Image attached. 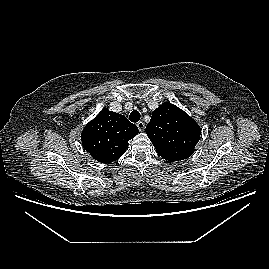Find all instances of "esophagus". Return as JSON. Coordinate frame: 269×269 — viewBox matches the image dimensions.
<instances>
[{"label": "esophagus", "instance_id": "1", "mask_svg": "<svg viewBox=\"0 0 269 269\" xmlns=\"http://www.w3.org/2000/svg\"><path fill=\"white\" fill-rule=\"evenodd\" d=\"M136 125H137L139 131H141V132L144 131L145 123L143 121H139Z\"/></svg>", "mask_w": 269, "mask_h": 269}]
</instances>
